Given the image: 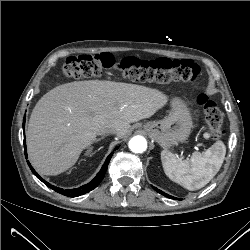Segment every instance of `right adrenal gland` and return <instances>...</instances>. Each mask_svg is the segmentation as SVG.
Masks as SVG:
<instances>
[{"instance_id":"obj_1","label":"right adrenal gland","mask_w":250,"mask_h":250,"mask_svg":"<svg viewBox=\"0 0 250 250\" xmlns=\"http://www.w3.org/2000/svg\"><path fill=\"white\" fill-rule=\"evenodd\" d=\"M103 139H104V136L95 139V140L93 141V143H97L98 141H101V140H103ZM92 151H93V146L88 147V148H87V151H86V155H89Z\"/></svg>"}]
</instances>
